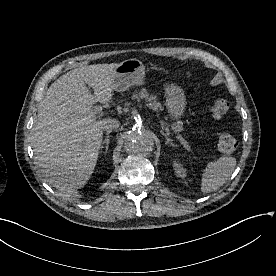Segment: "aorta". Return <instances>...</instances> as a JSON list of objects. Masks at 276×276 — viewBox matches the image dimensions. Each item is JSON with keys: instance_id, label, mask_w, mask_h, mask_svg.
Wrapping results in <instances>:
<instances>
[{"instance_id": "1", "label": "aorta", "mask_w": 276, "mask_h": 276, "mask_svg": "<svg viewBox=\"0 0 276 276\" xmlns=\"http://www.w3.org/2000/svg\"><path fill=\"white\" fill-rule=\"evenodd\" d=\"M154 139L146 132L132 129L129 131L125 148L127 152L135 156L143 157L149 155L153 151Z\"/></svg>"}]
</instances>
